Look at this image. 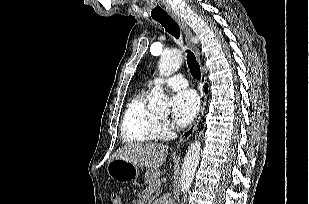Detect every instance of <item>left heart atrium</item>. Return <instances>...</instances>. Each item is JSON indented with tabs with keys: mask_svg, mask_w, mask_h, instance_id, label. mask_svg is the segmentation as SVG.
Listing matches in <instances>:
<instances>
[{
	"mask_svg": "<svg viewBox=\"0 0 309 204\" xmlns=\"http://www.w3.org/2000/svg\"><path fill=\"white\" fill-rule=\"evenodd\" d=\"M199 109V99L194 91L186 90L177 93L172 100V116L179 126L189 124Z\"/></svg>",
	"mask_w": 309,
	"mask_h": 204,
	"instance_id": "left-heart-atrium-1",
	"label": "left heart atrium"
}]
</instances>
